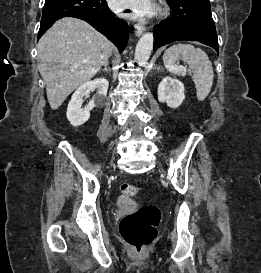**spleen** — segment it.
<instances>
[{
  "mask_svg": "<svg viewBox=\"0 0 261 273\" xmlns=\"http://www.w3.org/2000/svg\"><path fill=\"white\" fill-rule=\"evenodd\" d=\"M181 59L189 65V69L177 65ZM165 68L177 76L192 75L196 88V96L199 101H204L211 91L213 85L214 72L212 63L207 54L200 48H195L191 44L178 43L169 47L163 54Z\"/></svg>",
  "mask_w": 261,
  "mask_h": 273,
  "instance_id": "3e777b00",
  "label": "spleen"
}]
</instances>
